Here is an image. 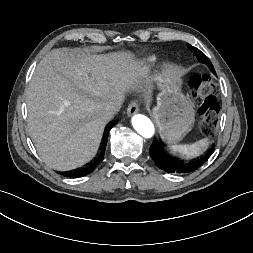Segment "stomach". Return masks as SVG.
Returning <instances> with one entry per match:
<instances>
[{
  "label": "stomach",
  "mask_w": 253,
  "mask_h": 253,
  "mask_svg": "<svg viewBox=\"0 0 253 253\" xmlns=\"http://www.w3.org/2000/svg\"><path fill=\"white\" fill-rule=\"evenodd\" d=\"M155 80L161 89L153 116L158 125L162 140L177 143L192 129L194 109L181 93L182 81L172 69H163Z\"/></svg>",
  "instance_id": "stomach-1"
}]
</instances>
